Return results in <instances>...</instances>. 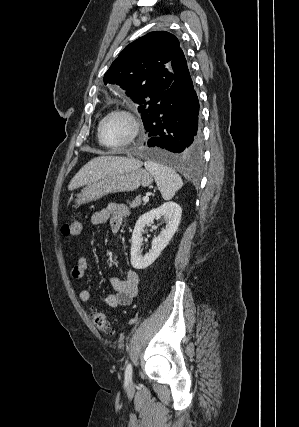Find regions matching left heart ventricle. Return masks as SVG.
I'll return each mask as SVG.
<instances>
[{
  "mask_svg": "<svg viewBox=\"0 0 299 427\" xmlns=\"http://www.w3.org/2000/svg\"><path fill=\"white\" fill-rule=\"evenodd\" d=\"M131 130V124L126 117L113 115L103 123L101 138L107 144H120L129 138Z\"/></svg>",
  "mask_w": 299,
  "mask_h": 427,
  "instance_id": "left-heart-ventricle-1",
  "label": "left heart ventricle"
}]
</instances>
